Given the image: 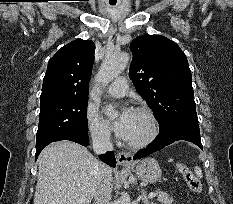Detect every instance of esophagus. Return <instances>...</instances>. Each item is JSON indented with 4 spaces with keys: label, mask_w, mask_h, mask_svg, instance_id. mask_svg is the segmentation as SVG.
Instances as JSON below:
<instances>
[{
    "label": "esophagus",
    "mask_w": 233,
    "mask_h": 204,
    "mask_svg": "<svg viewBox=\"0 0 233 204\" xmlns=\"http://www.w3.org/2000/svg\"><path fill=\"white\" fill-rule=\"evenodd\" d=\"M117 163L121 166H128L132 164L133 157L128 152H119L116 156Z\"/></svg>",
    "instance_id": "1"
}]
</instances>
